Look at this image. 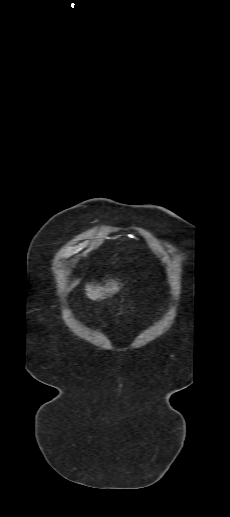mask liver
<instances>
[{"instance_id": "obj_1", "label": "liver", "mask_w": 230, "mask_h": 517, "mask_svg": "<svg viewBox=\"0 0 230 517\" xmlns=\"http://www.w3.org/2000/svg\"><path fill=\"white\" fill-rule=\"evenodd\" d=\"M79 281H75L73 286H76ZM120 290L119 284L114 280L108 281L105 286H100L99 284H87L85 291L87 297L92 301H100L110 297Z\"/></svg>"}]
</instances>
